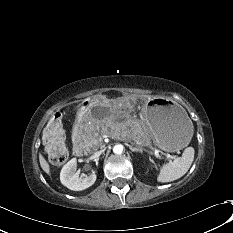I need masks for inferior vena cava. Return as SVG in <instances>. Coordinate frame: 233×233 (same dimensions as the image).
<instances>
[{"label": "inferior vena cava", "instance_id": "602c4592", "mask_svg": "<svg viewBox=\"0 0 233 233\" xmlns=\"http://www.w3.org/2000/svg\"><path fill=\"white\" fill-rule=\"evenodd\" d=\"M103 152H104V150L97 151V152L95 153V156H100Z\"/></svg>", "mask_w": 233, "mask_h": 233}]
</instances>
